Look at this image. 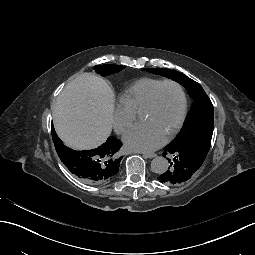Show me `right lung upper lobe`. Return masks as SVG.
<instances>
[{
	"instance_id": "obj_1",
	"label": "right lung upper lobe",
	"mask_w": 255,
	"mask_h": 255,
	"mask_svg": "<svg viewBox=\"0 0 255 255\" xmlns=\"http://www.w3.org/2000/svg\"><path fill=\"white\" fill-rule=\"evenodd\" d=\"M52 138L55 144V148L58 156L69 171L88 184H101L113 179L118 173L120 161L119 149L122 146L120 140L115 137H109L107 141L100 147L92 150L75 151L66 147L62 141L58 138L54 128L52 127ZM87 152L88 154L97 153L100 156V173L97 176L87 178L83 175V161L80 159V154Z\"/></svg>"
}]
</instances>
